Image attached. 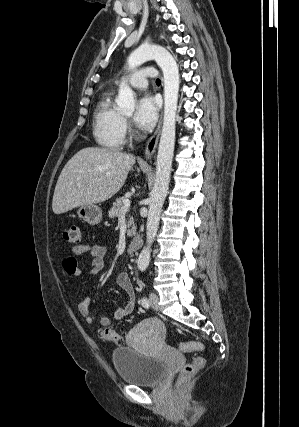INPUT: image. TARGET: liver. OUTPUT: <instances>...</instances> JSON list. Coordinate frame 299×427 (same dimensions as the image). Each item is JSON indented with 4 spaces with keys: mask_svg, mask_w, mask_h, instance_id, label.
<instances>
[{
    "mask_svg": "<svg viewBox=\"0 0 299 427\" xmlns=\"http://www.w3.org/2000/svg\"><path fill=\"white\" fill-rule=\"evenodd\" d=\"M135 157L118 150L87 147L64 166L53 195L52 209L62 214L73 208L104 202L124 185Z\"/></svg>",
    "mask_w": 299,
    "mask_h": 427,
    "instance_id": "obj_1",
    "label": "liver"
}]
</instances>
